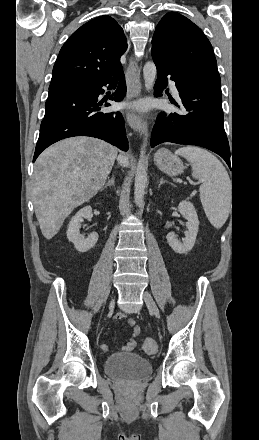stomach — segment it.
Segmentation results:
<instances>
[{"instance_id":"stomach-1","label":"stomach","mask_w":259,"mask_h":440,"mask_svg":"<svg viewBox=\"0 0 259 440\" xmlns=\"http://www.w3.org/2000/svg\"><path fill=\"white\" fill-rule=\"evenodd\" d=\"M154 163L162 172L170 176H178L184 170L182 160L168 149H159L154 155Z\"/></svg>"}]
</instances>
